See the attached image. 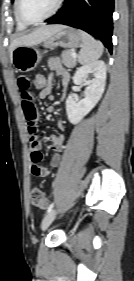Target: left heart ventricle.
<instances>
[{
	"mask_svg": "<svg viewBox=\"0 0 134 281\" xmlns=\"http://www.w3.org/2000/svg\"><path fill=\"white\" fill-rule=\"evenodd\" d=\"M58 0H22L21 11L29 20H38L49 14Z\"/></svg>",
	"mask_w": 134,
	"mask_h": 281,
	"instance_id": "1",
	"label": "left heart ventricle"
}]
</instances>
